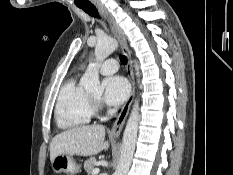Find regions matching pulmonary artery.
Here are the masks:
<instances>
[{
	"label": "pulmonary artery",
	"mask_w": 233,
	"mask_h": 175,
	"mask_svg": "<svg viewBox=\"0 0 233 175\" xmlns=\"http://www.w3.org/2000/svg\"><path fill=\"white\" fill-rule=\"evenodd\" d=\"M118 62L115 59H108L99 65V70L104 75L113 74L118 70Z\"/></svg>",
	"instance_id": "obj_1"
}]
</instances>
